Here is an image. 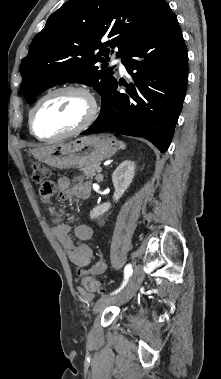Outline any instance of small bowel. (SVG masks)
<instances>
[{
  "label": "small bowel",
  "instance_id": "obj_1",
  "mask_svg": "<svg viewBox=\"0 0 221 379\" xmlns=\"http://www.w3.org/2000/svg\"><path fill=\"white\" fill-rule=\"evenodd\" d=\"M56 190H58L59 198L62 200L86 199L90 195L91 187L87 181L72 183L68 177H60L56 185L52 184L51 190L47 194L41 195L42 201L46 204L49 203ZM51 213L54 218L53 235L65 250L69 260L76 266L78 274L97 275L104 273L107 268L106 263L103 260H99L91 267H88L93 258L91 247L85 243L77 242L72 237L73 233L78 240L87 241L93 237V227L88 224L71 225L65 222L63 216L57 213L56 210H51ZM79 292L87 300L92 298L84 289L80 288Z\"/></svg>",
  "mask_w": 221,
  "mask_h": 379
}]
</instances>
